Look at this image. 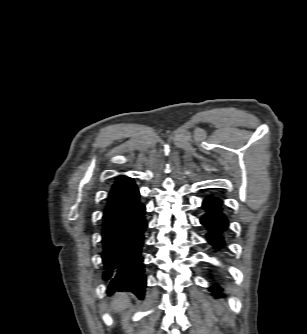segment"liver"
<instances>
[{"label": "liver", "instance_id": "1", "mask_svg": "<svg viewBox=\"0 0 307 334\" xmlns=\"http://www.w3.org/2000/svg\"><path fill=\"white\" fill-rule=\"evenodd\" d=\"M130 299L126 293H117L116 299L111 303V309L113 311H121L128 307Z\"/></svg>", "mask_w": 307, "mask_h": 334}]
</instances>
